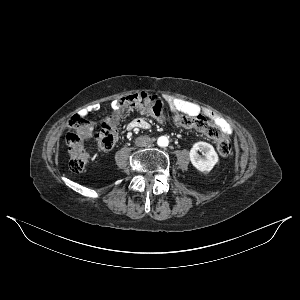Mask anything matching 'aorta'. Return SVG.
Here are the masks:
<instances>
[{"label":"aorta","mask_w":300,"mask_h":300,"mask_svg":"<svg viewBox=\"0 0 300 300\" xmlns=\"http://www.w3.org/2000/svg\"><path fill=\"white\" fill-rule=\"evenodd\" d=\"M157 144L158 146L160 147H167L168 144H169V140L166 136H160L158 139H157Z\"/></svg>","instance_id":"aorta-1"}]
</instances>
